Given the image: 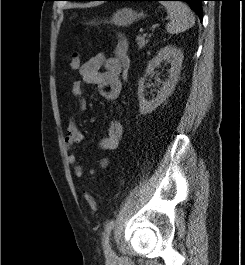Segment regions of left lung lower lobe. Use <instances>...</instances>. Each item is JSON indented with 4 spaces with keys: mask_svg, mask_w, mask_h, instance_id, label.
<instances>
[{
    "mask_svg": "<svg viewBox=\"0 0 245 265\" xmlns=\"http://www.w3.org/2000/svg\"><path fill=\"white\" fill-rule=\"evenodd\" d=\"M79 1H101V0H79ZM105 1H166V0H105ZM188 3L202 20V1L205 0H178Z\"/></svg>",
    "mask_w": 245,
    "mask_h": 265,
    "instance_id": "0a47b994",
    "label": "left lung lower lobe"
}]
</instances>
